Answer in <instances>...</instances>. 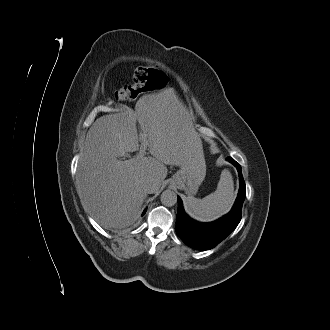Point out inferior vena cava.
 Instances as JSON below:
<instances>
[{
	"label": "inferior vena cava",
	"instance_id": "inferior-vena-cava-1",
	"mask_svg": "<svg viewBox=\"0 0 330 330\" xmlns=\"http://www.w3.org/2000/svg\"><path fill=\"white\" fill-rule=\"evenodd\" d=\"M157 188V184L155 183V181L153 179H148L145 181L144 184V190L151 194V193H155V190Z\"/></svg>",
	"mask_w": 330,
	"mask_h": 330
}]
</instances>
